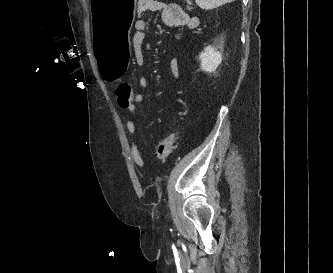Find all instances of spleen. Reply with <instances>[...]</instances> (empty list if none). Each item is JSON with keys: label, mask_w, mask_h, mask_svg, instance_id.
I'll list each match as a JSON object with an SVG mask.
<instances>
[{"label": "spleen", "mask_w": 333, "mask_h": 273, "mask_svg": "<svg viewBox=\"0 0 333 273\" xmlns=\"http://www.w3.org/2000/svg\"><path fill=\"white\" fill-rule=\"evenodd\" d=\"M235 0H195L196 4L205 10L214 9Z\"/></svg>", "instance_id": "obj_1"}]
</instances>
